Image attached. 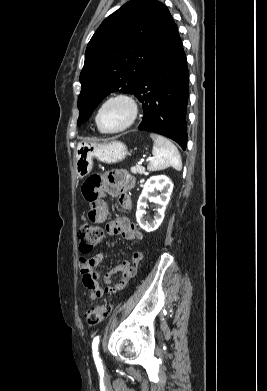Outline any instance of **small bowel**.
I'll list each match as a JSON object with an SVG mask.
<instances>
[{"mask_svg": "<svg viewBox=\"0 0 267 391\" xmlns=\"http://www.w3.org/2000/svg\"><path fill=\"white\" fill-rule=\"evenodd\" d=\"M135 185L134 178L125 170H115L103 176H92L82 186L85 200L89 204L87 218L89 222L100 224L106 221L109 209L106 202L107 196H115L120 207L125 211H131L133 202L128 194ZM109 235H121L128 241L141 240L143 234L126 217H117L106 225ZM104 258L103 253H98L90 258L82 257L79 260V267L82 276V283L85 289L94 296H101L104 293H117L123 290L131 278L136 274L138 265L143 259L142 252H135L132 261L124 260L117 264L104 277L106 287L100 285L99 274L95 271ZM115 276H118L115 278Z\"/></svg>", "mask_w": 267, "mask_h": 391, "instance_id": "1", "label": "small bowel"}]
</instances>
